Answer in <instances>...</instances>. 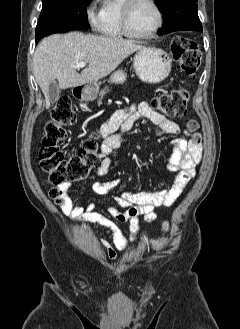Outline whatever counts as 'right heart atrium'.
Returning a JSON list of instances; mask_svg holds the SVG:
<instances>
[{
  "label": "right heart atrium",
  "mask_w": 240,
  "mask_h": 329,
  "mask_svg": "<svg viewBox=\"0 0 240 329\" xmlns=\"http://www.w3.org/2000/svg\"><path fill=\"white\" fill-rule=\"evenodd\" d=\"M100 12L97 13L92 7L87 9V18L92 26H97L99 21Z\"/></svg>",
  "instance_id": "right-heart-atrium-1"
}]
</instances>
